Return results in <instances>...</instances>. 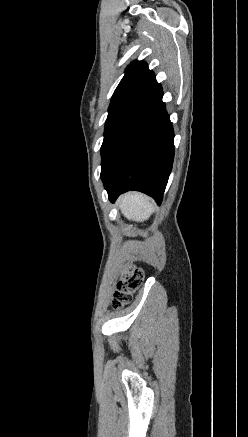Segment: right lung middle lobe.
<instances>
[{
	"instance_id": "obj_1",
	"label": "right lung middle lobe",
	"mask_w": 248,
	"mask_h": 437,
	"mask_svg": "<svg viewBox=\"0 0 248 437\" xmlns=\"http://www.w3.org/2000/svg\"><path fill=\"white\" fill-rule=\"evenodd\" d=\"M138 93H132L112 100L108 109V117L105 124L104 140L101 147V155L110 143L111 139L123 123L126 114L133 106Z\"/></svg>"
}]
</instances>
